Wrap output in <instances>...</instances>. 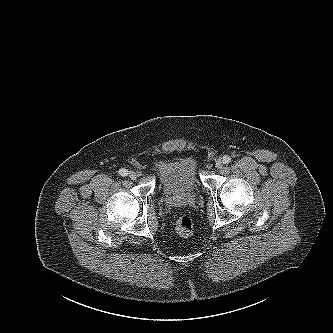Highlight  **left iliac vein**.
I'll return each instance as SVG.
<instances>
[{"mask_svg": "<svg viewBox=\"0 0 333 333\" xmlns=\"http://www.w3.org/2000/svg\"><path fill=\"white\" fill-rule=\"evenodd\" d=\"M223 166V159L222 158H218L215 162V167L217 169H220Z\"/></svg>", "mask_w": 333, "mask_h": 333, "instance_id": "obj_1", "label": "left iliac vein"}]
</instances>
